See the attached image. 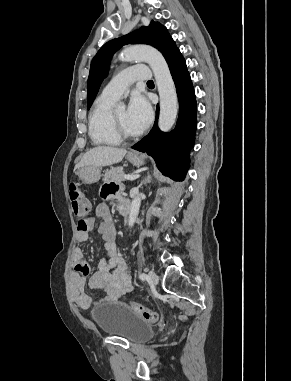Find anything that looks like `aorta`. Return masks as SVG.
I'll return each instance as SVG.
<instances>
[{"label":"aorta","instance_id":"1","mask_svg":"<svg viewBox=\"0 0 291 381\" xmlns=\"http://www.w3.org/2000/svg\"><path fill=\"white\" fill-rule=\"evenodd\" d=\"M121 61H145L151 67L160 97L158 126L161 131H169L178 113V100L174 81L162 54L148 45H134L125 48L119 55ZM141 205V195L132 200L128 225L132 227L137 219Z\"/></svg>","mask_w":291,"mask_h":381}]
</instances>
